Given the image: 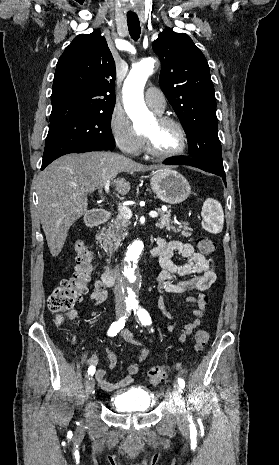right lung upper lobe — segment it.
I'll use <instances>...</instances> for the list:
<instances>
[{
	"mask_svg": "<svg viewBox=\"0 0 279 465\" xmlns=\"http://www.w3.org/2000/svg\"><path fill=\"white\" fill-rule=\"evenodd\" d=\"M115 62L101 33L80 34L58 60L50 124L114 108Z\"/></svg>",
	"mask_w": 279,
	"mask_h": 465,
	"instance_id": "obj_1",
	"label": "right lung upper lobe"
}]
</instances>
